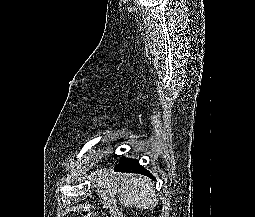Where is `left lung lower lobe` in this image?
I'll use <instances>...</instances> for the list:
<instances>
[{"mask_svg": "<svg viewBox=\"0 0 255 217\" xmlns=\"http://www.w3.org/2000/svg\"><path fill=\"white\" fill-rule=\"evenodd\" d=\"M114 170L116 172L139 173L145 176H149L155 180V178L150 174V172L144 169L143 166H141L139 162L134 159H127L125 157H121L119 164L115 166Z\"/></svg>", "mask_w": 255, "mask_h": 217, "instance_id": "obj_1", "label": "left lung lower lobe"}]
</instances>
